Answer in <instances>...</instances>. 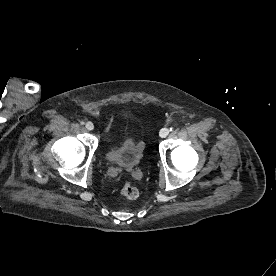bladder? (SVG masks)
Segmentation results:
<instances>
[{"label": "bladder", "mask_w": 276, "mask_h": 276, "mask_svg": "<svg viewBox=\"0 0 276 276\" xmlns=\"http://www.w3.org/2000/svg\"><path fill=\"white\" fill-rule=\"evenodd\" d=\"M143 154V143L125 136L117 145L111 147L107 151L106 157L108 161L118 166L134 168L141 162Z\"/></svg>", "instance_id": "bladder-1"}]
</instances>
